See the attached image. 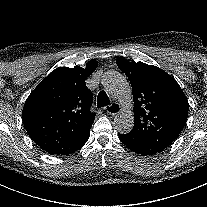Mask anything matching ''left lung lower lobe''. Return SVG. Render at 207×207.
I'll use <instances>...</instances> for the list:
<instances>
[{
	"instance_id": "obj_1",
	"label": "left lung lower lobe",
	"mask_w": 207,
	"mask_h": 207,
	"mask_svg": "<svg viewBox=\"0 0 207 207\" xmlns=\"http://www.w3.org/2000/svg\"><path fill=\"white\" fill-rule=\"evenodd\" d=\"M119 139L130 150L136 152L137 154H140V155H153V154H156L157 153L156 151H152V150H149V149H146V148L131 146L130 143H129V140L123 134H119Z\"/></svg>"
}]
</instances>
